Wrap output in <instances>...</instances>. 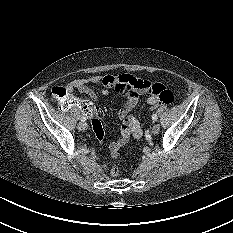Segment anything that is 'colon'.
I'll return each mask as SVG.
<instances>
[{"mask_svg": "<svg viewBox=\"0 0 233 233\" xmlns=\"http://www.w3.org/2000/svg\"><path fill=\"white\" fill-rule=\"evenodd\" d=\"M124 81L127 82L126 85L129 87H135V88H145L147 87L149 92H151L155 99L153 100V103L150 104L153 107L160 106V105H169L175 102V95L171 90L166 89L165 86L155 83L150 86H146L141 81H139L136 78L130 77V76H124ZM52 96L53 98L59 102V104L63 108H68L69 106L74 107H80L81 111L83 113H86L88 115H95L97 113V105L91 101L88 98H82L79 95H70L68 91L62 87L57 86L52 89ZM100 118V113L98 116ZM94 117V118H96ZM91 128L94 131V139L97 144H104L106 142V135H105V127L103 125V122L100 119H93L91 121ZM118 151L112 152L113 157L118 156ZM111 173L113 176L118 175V168L114 166L111 170Z\"/></svg>", "mask_w": 233, "mask_h": 233, "instance_id": "colon-1", "label": "colon"}]
</instances>
